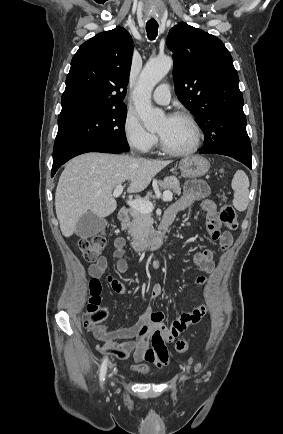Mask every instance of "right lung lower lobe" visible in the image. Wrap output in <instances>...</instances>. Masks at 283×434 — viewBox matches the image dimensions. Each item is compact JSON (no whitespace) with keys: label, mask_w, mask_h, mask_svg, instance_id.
<instances>
[{"label":"right lung lower lobe","mask_w":283,"mask_h":434,"mask_svg":"<svg viewBox=\"0 0 283 434\" xmlns=\"http://www.w3.org/2000/svg\"><path fill=\"white\" fill-rule=\"evenodd\" d=\"M87 152H103V153H114V154H119L121 152H123L120 149H117L115 147L109 146V145H105V144H93V145H86V146H82L79 147L77 149L72 150L71 152H69L68 154H66L65 156H63L62 158L53 161V166H52V172H51V176L53 177L54 174L56 173V171L64 164L66 163L68 160H70L71 158L83 154V153H87Z\"/></svg>","instance_id":"obj_1"}]
</instances>
